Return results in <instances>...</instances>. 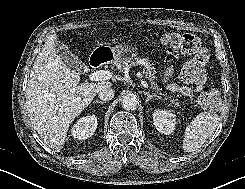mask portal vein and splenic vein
Returning a JSON list of instances; mask_svg holds the SVG:
<instances>
[{"instance_id": "obj_1", "label": "portal vein and splenic vein", "mask_w": 245, "mask_h": 189, "mask_svg": "<svg viewBox=\"0 0 245 189\" xmlns=\"http://www.w3.org/2000/svg\"><path fill=\"white\" fill-rule=\"evenodd\" d=\"M112 73L108 70H98L89 75V80L90 81H102V80H108L112 78ZM141 84L147 88V82L142 80Z\"/></svg>"}]
</instances>
